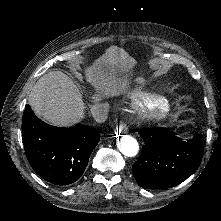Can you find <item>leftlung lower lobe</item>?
Listing matches in <instances>:
<instances>
[{
    "label": "left lung lower lobe",
    "instance_id": "1",
    "mask_svg": "<svg viewBox=\"0 0 221 221\" xmlns=\"http://www.w3.org/2000/svg\"><path fill=\"white\" fill-rule=\"evenodd\" d=\"M145 144L140 158L133 164V175L143 188L174 187L198 168L203 156L199 134L183 141L167 128L145 129L139 132Z\"/></svg>",
    "mask_w": 221,
    "mask_h": 221
}]
</instances>
